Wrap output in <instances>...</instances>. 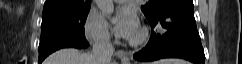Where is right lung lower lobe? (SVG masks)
<instances>
[{
  "instance_id": "right-lung-lower-lobe-1",
  "label": "right lung lower lobe",
  "mask_w": 242,
  "mask_h": 64,
  "mask_svg": "<svg viewBox=\"0 0 242 64\" xmlns=\"http://www.w3.org/2000/svg\"><path fill=\"white\" fill-rule=\"evenodd\" d=\"M42 61H43V60H40V62H39V63L41 64V62H42Z\"/></svg>"
}]
</instances>
